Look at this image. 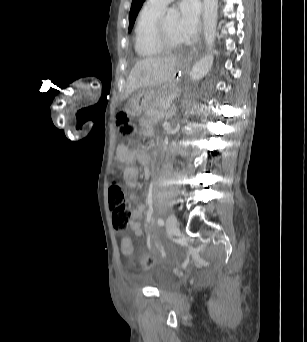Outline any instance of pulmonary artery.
<instances>
[{
	"mask_svg": "<svg viewBox=\"0 0 307 342\" xmlns=\"http://www.w3.org/2000/svg\"><path fill=\"white\" fill-rule=\"evenodd\" d=\"M173 1H146V6L155 12L161 13Z\"/></svg>",
	"mask_w": 307,
	"mask_h": 342,
	"instance_id": "1",
	"label": "pulmonary artery"
}]
</instances>
